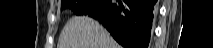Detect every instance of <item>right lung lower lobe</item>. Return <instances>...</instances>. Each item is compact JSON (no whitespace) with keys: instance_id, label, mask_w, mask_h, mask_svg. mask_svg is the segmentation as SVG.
Here are the masks:
<instances>
[{"instance_id":"right-lung-lower-lobe-1","label":"right lung lower lobe","mask_w":213,"mask_h":48,"mask_svg":"<svg viewBox=\"0 0 213 48\" xmlns=\"http://www.w3.org/2000/svg\"><path fill=\"white\" fill-rule=\"evenodd\" d=\"M156 0H95L86 11L125 48H147Z\"/></svg>"}]
</instances>
